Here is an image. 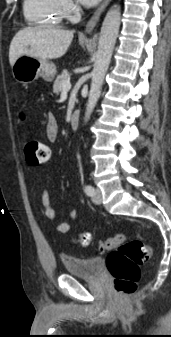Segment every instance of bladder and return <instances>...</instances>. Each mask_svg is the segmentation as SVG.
<instances>
[{"mask_svg":"<svg viewBox=\"0 0 171 337\" xmlns=\"http://www.w3.org/2000/svg\"><path fill=\"white\" fill-rule=\"evenodd\" d=\"M62 263L67 274L78 277L95 278L102 270V260L98 257L63 256Z\"/></svg>","mask_w":171,"mask_h":337,"instance_id":"obj_1","label":"bladder"}]
</instances>
